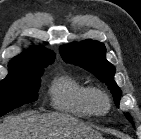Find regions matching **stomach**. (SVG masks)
<instances>
[{"label": "stomach", "instance_id": "0dacf381", "mask_svg": "<svg viewBox=\"0 0 141 139\" xmlns=\"http://www.w3.org/2000/svg\"><path fill=\"white\" fill-rule=\"evenodd\" d=\"M73 139H103L97 132L89 131L77 134Z\"/></svg>", "mask_w": 141, "mask_h": 139}]
</instances>
